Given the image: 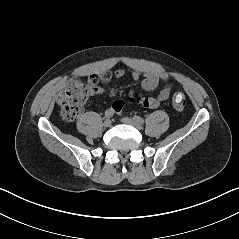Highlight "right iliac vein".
Instances as JSON below:
<instances>
[{"label":"right iliac vein","instance_id":"obj_1","mask_svg":"<svg viewBox=\"0 0 239 239\" xmlns=\"http://www.w3.org/2000/svg\"><path fill=\"white\" fill-rule=\"evenodd\" d=\"M111 120L109 118H107L104 122H103V126L104 127H110L111 126Z\"/></svg>","mask_w":239,"mask_h":239}]
</instances>
